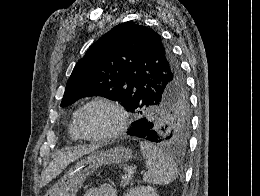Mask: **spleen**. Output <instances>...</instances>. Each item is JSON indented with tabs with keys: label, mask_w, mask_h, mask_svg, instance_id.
<instances>
[{
	"label": "spleen",
	"mask_w": 260,
	"mask_h": 196,
	"mask_svg": "<svg viewBox=\"0 0 260 196\" xmlns=\"http://www.w3.org/2000/svg\"><path fill=\"white\" fill-rule=\"evenodd\" d=\"M140 150L148 170L143 176L144 182L163 186L176 180L179 170L173 158L163 154L162 150L151 142H140Z\"/></svg>",
	"instance_id": "1"
}]
</instances>
